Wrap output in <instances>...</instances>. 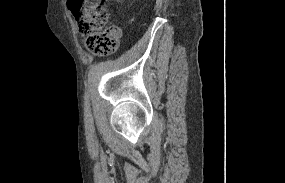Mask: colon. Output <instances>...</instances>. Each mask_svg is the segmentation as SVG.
<instances>
[{
  "instance_id": "1",
  "label": "colon",
  "mask_w": 285,
  "mask_h": 183,
  "mask_svg": "<svg viewBox=\"0 0 285 183\" xmlns=\"http://www.w3.org/2000/svg\"><path fill=\"white\" fill-rule=\"evenodd\" d=\"M106 0H69L68 6L74 16L78 31L84 35L85 46L93 54L107 56L115 53L119 46L121 29L107 26Z\"/></svg>"
}]
</instances>
